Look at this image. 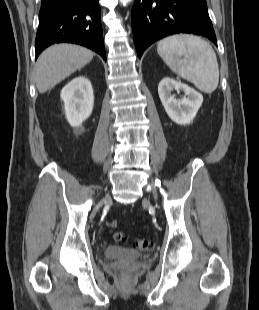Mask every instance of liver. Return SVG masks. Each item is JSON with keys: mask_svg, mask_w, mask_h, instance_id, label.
Instances as JSON below:
<instances>
[{"mask_svg": "<svg viewBox=\"0 0 259 310\" xmlns=\"http://www.w3.org/2000/svg\"><path fill=\"white\" fill-rule=\"evenodd\" d=\"M94 53L78 45L57 44L38 58L35 69L36 87L40 93L53 88L75 71L87 65Z\"/></svg>", "mask_w": 259, "mask_h": 310, "instance_id": "obj_1", "label": "liver"}]
</instances>
